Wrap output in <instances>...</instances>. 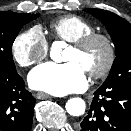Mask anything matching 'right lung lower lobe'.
Listing matches in <instances>:
<instances>
[{"instance_id": "right-lung-lower-lobe-1", "label": "right lung lower lobe", "mask_w": 131, "mask_h": 131, "mask_svg": "<svg viewBox=\"0 0 131 131\" xmlns=\"http://www.w3.org/2000/svg\"><path fill=\"white\" fill-rule=\"evenodd\" d=\"M35 101L16 71L0 70V131H30Z\"/></svg>"}]
</instances>
